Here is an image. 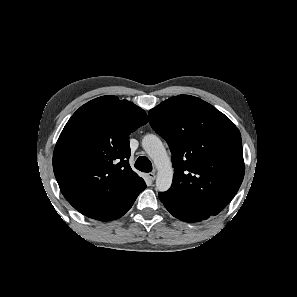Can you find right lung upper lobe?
Returning a JSON list of instances; mask_svg holds the SVG:
<instances>
[{
  "label": "right lung upper lobe",
  "instance_id": "1",
  "mask_svg": "<svg viewBox=\"0 0 297 297\" xmlns=\"http://www.w3.org/2000/svg\"><path fill=\"white\" fill-rule=\"evenodd\" d=\"M147 122L143 109L116 96L93 99L72 115L56 143L53 169L76 210L108 221L146 185L129 165V135Z\"/></svg>",
  "mask_w": 297,
  "mask_h": 297
}]
</instances>
